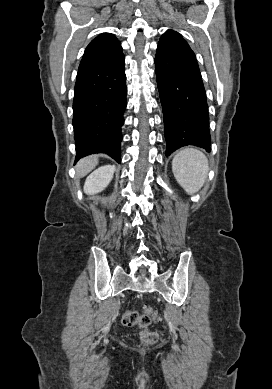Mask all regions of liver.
Returning a JSON list of instances; mask_svg holds the SVG:
<instances>
[{
    "label": "liver",
    "mask_w": 272,
    "mask_h": 389,
    "mask_svg": "<svg viewBox=\"0 0 272 389\" xmlns=\"http://www.w3.org/2000/svg\"><path fill=\"white\" fill-rule=\"evenodd\" d=\"M98 164L97 156H89L80 160L76 165L77 177L82 178L90 173Z\"/></svg>",
    "instance_id": "1"
}]
</instances>
